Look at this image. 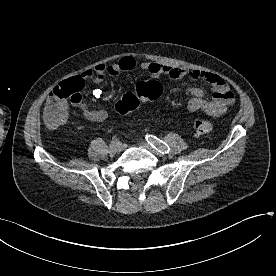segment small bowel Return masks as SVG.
I'll return each mask as SVG.
<instances>
[{"mask_svg": "<svg viewBox=\"0 0 276 276\" xmlns=\"http://www.w3.org/2000/svg\"><path fill=\"white\" fill-rule=\"evenodd\" d=\"M140 67L145 72H148L153 78L167 76L171 79H181L189 77L192 80L203 81L213 91L212 97L207 98L205 92L198 87L189 89L192 98L186 106V112L193 114L198 111H203L211 116H220L224 114L228 108L234 103V94L226 81L219 75L200 70H186L183 68L172 67L155 62L144 61L138 64L137 60L132 56H125L117 62L108 64H98L95 67L84 71L81 75L75 77L84 82L101 83L108 76H117L122 72H130L135 68ZM91 95L98 99L105 97L106 94L101 89H94ZM75 107H78L82 115L90 121L100 122L107 118L108 112L104 108H91L82 99L71 102ZM50 106V97L46 101V109ZM67 109V105H66Z\"/></svg>", "mask_w": 276, "mask_h": 276, "instance_id": "small-bowel-1", "label": "small bowel"}]
</instances>
